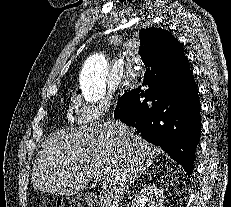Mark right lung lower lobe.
I'll return each instance as SVG.
<instances>
[{
    "label": "right lung lower lobe",
    "mask_w": 231,
    "mask_h": 207,
    "mask_svg": "<svg viewBox=\"0 0 231 207\" xmlns=\"http://www.w3.org/2000/svg\"><path fill=\"white\" fill-rule=\"evenodd\" d=\"M151 30H142L140 39ZM142 85L124 93L115 118L167 152L190 176L200 138L201 106L189 64L180 71L149 68Z\"/></svg>",
    "instance_id": "98d812e1"
}]
</instances>
